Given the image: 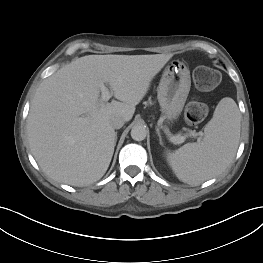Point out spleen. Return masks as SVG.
I'll list each match as a JSON object with an SVG mask.
<instances>
[{
	"label": "spleen",
	"mask_w": 263,
	"mask_h": 263,
	"mask_svg": "<svg viewBox=\"0 0 263 263\" xmlns=\"http://www.w3.org/2000/svg\"><path fill=\"white\" fill-rule=\"evenodd\" d=\"M239 138V109L232 98L226 97L206 125L203 140L168 151L166 158L179 180L197 185L226 169L235 156Z\"/></svg>",
	"instance_id": "spleen-1"
}]
</instances>
